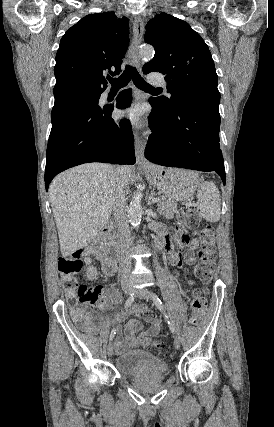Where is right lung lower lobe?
<instances>
[{
    "instance_id": "1",
    "label": "right lung lower lobe",
    "mask_w": 274,
    "mask_h": 427,
    "mask_svg": "<svg viewBox=\"0 0 274 427\" xmlns=\"http://www.w3.org/2000/svg\"><path fill=\"white\" fill-rule=\"evenodd\" d=\"M131 91L117 101V108H126ZM114 106L82 103L51 115L45 186L70 167L88 162L134 164V138L128 120L116 123L111 118Z\"/></svg>"
}]
</instances>
